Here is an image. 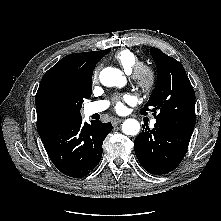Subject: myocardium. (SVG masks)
<instances>
[{
    "label": "myocardium",
    "mask_w": 221,
    "mask_h": 221,
    "mask_svg": "<svg viewBox=\"0 0 221 221\" xmlns=\"http://www.w3.org/2000/svg\"><path fill=\"white\" fill-rule=\"evenodd\" d=\"M136 85L143 91H151L157 83V72L153 66L146 62H137L131 72Z\"/></svg>",
    "instance_id": "f54148a6"
}]
</instances>
